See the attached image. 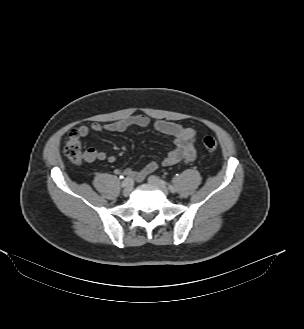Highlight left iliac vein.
Wrapping results in <instances>:
<instances>
[{"label":"left iliac vein","mask_w":304,"mask_h":329,"mask_svg":"<svg viewBox=\"0 0 304 329\" xmlns=\"http://www.w3.org/2000/svg\"><path fill=\"white\" fill-rule=\"evenodd\" d=\"M148 182L151 185L158 187L165 195L169 194V190L166 187L165 183L156 176H149Z\"/></svg>","instance_id":"obj_1"}]
</instances>
